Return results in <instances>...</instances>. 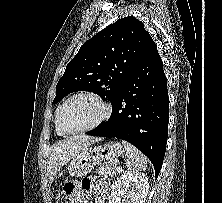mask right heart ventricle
<instances>
[{
	"label": "right heart ventricle",
	"mask_w": 222,
	"mask_h": 203,
	"mask_svg": "<svg viewBox=\"0 0 222 203\" xmlns=\"http://www.w3.org/2000/svg\"><path fill=\"white\" fill-rule=\"evenodd\" d=\"M57 115H56V117H55V130H56V133L59 135V136H62V135H64L65 133H63L59 128H58V126H57Z\"/></svg>",
	"instance_id": "obj_1"
}]
</instances>
